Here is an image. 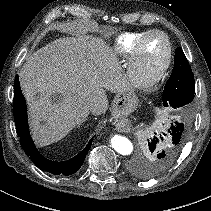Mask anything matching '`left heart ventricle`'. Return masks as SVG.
<instances>
[{
  "instance_id": "b2bd125f",
  "label": "left heart ventricle",
  "mask_w": 211,
  "mask_h": 211,
  "mask_svg": "<svg viewBox=\"0 0 211 211\" xmlns=\"http://www.w3.org/2000/svg\"><path fill=\"white\" fill-rule=\"evenodd\" d=\"M166 56V42L160 35L150 36L143 45L140 57L139 75L151 76L161 65Z\"/></svg>"
}]
</instances>
